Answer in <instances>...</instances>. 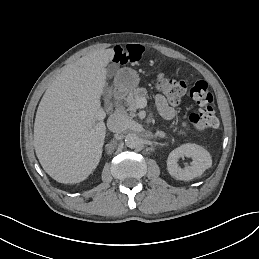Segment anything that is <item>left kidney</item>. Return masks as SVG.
I'll return each mask as SVG.
<instances>
[{
  "mask_svg": "<svg viewBox=\"0 0 259 259\" xmlns=\"http://www.w3.org/2000/svg\"><path fill=\"white\" fill-rule=\"evenodd\" d=\"M191 157L193 159L191 166L182 169L178 165V159L181 157ZM212 159L207 150L196 144H183L174 149L168 156L167 169L171 176L178 180H191L203 174L210 168Z\"/></svg>",
  "mask_w": 259,
  "mask_h": 259,
  "instance_id": "5707ae66",
  "label": "left kidney"
}]
</instances>
